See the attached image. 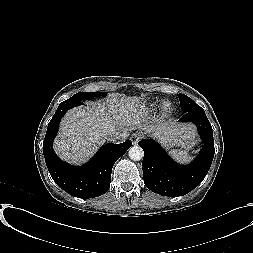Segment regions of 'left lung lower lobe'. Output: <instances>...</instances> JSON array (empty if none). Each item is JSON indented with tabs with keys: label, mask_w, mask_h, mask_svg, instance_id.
<instances>
[{
	"label": "left lung lower lobe",
	"mask_w": 253,
	"mask_h": 253,
	"mask_svg": "<svg viewBox=\"0 0 253 253\" xmlns=\"http://www.w3.org/2000/svg\"><path fill=\"white\" fill-rule=\"evenodd\" d=\"M179 120L195 123L204 142L198 157L190 165L176 164L154 140L138 142L144 150V183L152 192L163 196H183L196 188L208 173L214 157L213 130L204 110L186 112Z\"/></svg>",
	"instance_id": "obj_1"
}]
</instances>
